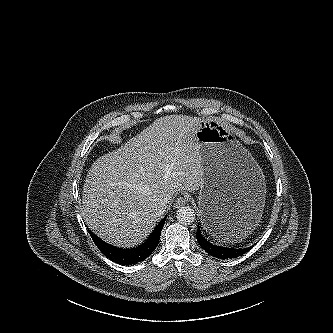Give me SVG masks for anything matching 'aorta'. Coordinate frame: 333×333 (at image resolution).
I'll use <instances>...</instances> for the list:
<instances>
[{
	"instance_id": "1",
	"label": "aorta",
	"mask_w": 333,
	"mask_h": 333,
	"mask_svg": "<svg viewBox=\"0 0 333 333\" xmlns=\"http://www.w3.org/2000/svg\"><path fill=\"white\" fill-rule=\"evenodd\" d=\"M177 220L183 225H190L195 220V212L190 206H184L177 210Z\"/></svg>"
}]
</instances>
